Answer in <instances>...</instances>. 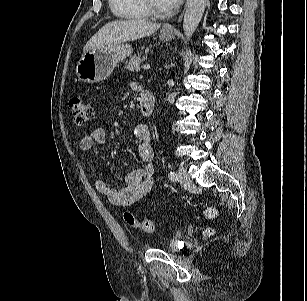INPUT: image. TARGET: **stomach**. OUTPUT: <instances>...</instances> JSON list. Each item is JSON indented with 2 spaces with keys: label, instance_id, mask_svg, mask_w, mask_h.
I'll return each instance as SVG.
<instances>
[{
  "label": "stomach",
  "instance_id": "obj_1",
  "mask_svg": "<svg viewBox=\"0 0 307 301\" xmlns=\"http://www.w3.org/2000/svg\"><path fill=\"white\" fill-rule=\"evenodd\" d=\"M175 37V31L163 29L160 39L169 41ZM132 47L121 43L111 48L92 49L82 55L77 66L78 78L86 83H97L107 79L119 62L131 55Z\"/></svg>",
  "mask_w": 307,
  "mask_h": 301
}]
</instances>
